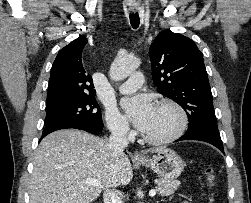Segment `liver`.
Instances as JSON below:
<instances>
[{"label": "liver", "mask_w": 251, "mask_h": 203, "mask_svg": "<svg viewBox=\"0 0 251 203\" xmlns=\"http://www.w3.org/2000/svg\"><path fill=\"white\" fill-rule=\"evenodd\" d=\"M33 164L30 203H91L103 187L125 186L133 178L126 154L115 156L107 140L79 130H59L46 136ZM87 179H96L99 185H89Z\"/></svg>", "instance_id": "obj_1"}]
</instances>
